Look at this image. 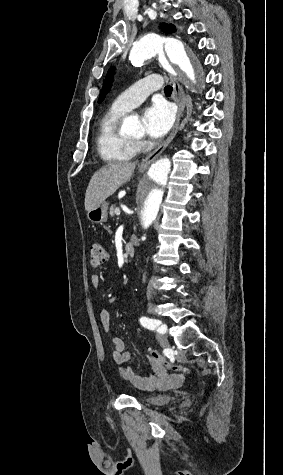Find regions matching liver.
I'll use <instances>...</instances> for the list:
<instances>
[{
    "label": "liver",
    "mask_w": 283,
    "mask_h": 475,
    "mask_svg": "<svg viewBox=\"0 0 283 475\" xmlns=\"http://www.w3.org/2000/svg\"><path fill=\"white\" fill-rule=\"evenodd\" d=\"M135 166L136 164H129V162H112L95 172L86 190L85 210L90 212V210L98 208L122 184H126L130 180Z\"/></svg>",
    "instance_id": "1"
}]
</instances>
